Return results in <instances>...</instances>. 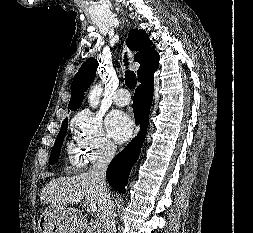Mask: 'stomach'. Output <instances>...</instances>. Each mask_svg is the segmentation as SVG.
I'll list each match as a JSON object with an SVG mask.
<instances>
[{"label":"stomach","instance_id":"1","mask_svg":"<svg viewBox=\"0 0 253 233\" xmlns=\"http://www.w3.org/2000/svg\"><path fill=\"white\" fill-rule=\"evenodd\" d=\"M76 220L74 210L51 205L44 210L38 221V227L41 233H80Z\"/></svg>","mask_w":253,"mask_h":233}]
</instances>
